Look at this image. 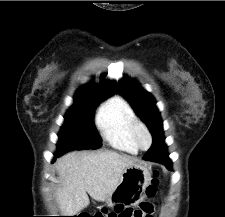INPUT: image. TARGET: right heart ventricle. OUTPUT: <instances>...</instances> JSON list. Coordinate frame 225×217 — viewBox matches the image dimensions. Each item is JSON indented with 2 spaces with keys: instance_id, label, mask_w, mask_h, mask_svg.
I'll list each match as a JSON object with an SVG mask.
<instances>
[{
  "instance_id": "obj_1",
  "label": "right heart ventricle",
  "mask_w": 225,
  "mask_h": 217,
  "mask_svg": "<svg viewBox=\"0 0 225 217\" xmlns=\"http://www.w3.org/2000/svg\"><path fill=\"white\" fill-rule=\"evenodd\" d=\"M137 121L131 105L121 96L105 102L97 116V126L105 140L115 149L135 154L139 148L132 137V127Z\"/></svg>"
}]
</instances>
